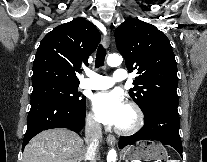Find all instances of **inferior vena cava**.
I'll return each mask as SVG.
<instances>
[{"label":"inferior vena cava","instance_id":"1","mask_svg":"<svg viewBox=\"0 0 207 162\" xmlns=\"http://www.w3.org/2000/svg\"><path fill=\"white\" fill-rule=\"evenodd\" d=\"M85 143L87 145L85 160H93L98 152L100 144L102 143V131L100 123L92 118H88L86 120Z\"/></svg>","mask_w":207,"mask_h":162}]
</instances>
